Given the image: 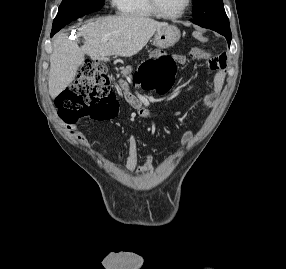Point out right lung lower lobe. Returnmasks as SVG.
<instances>
[{
    "mask_svg": "<svg viewBox=\"0 0 286 269\" xmlns=\"http://www.w3.org/2000/svg\"><path fill=\"white\" fill-rule=\"evenodd\" d=\"M58 32V30H52V32H51V37L55 34V33H57Z\"/></svg>",
    "mask_w": 286,
    "mask_h": 269,
    "instance_id": "obj_1",
    "label": "right lung lower lobe"
}]
</instances>
